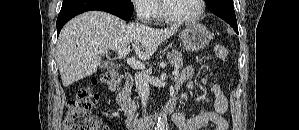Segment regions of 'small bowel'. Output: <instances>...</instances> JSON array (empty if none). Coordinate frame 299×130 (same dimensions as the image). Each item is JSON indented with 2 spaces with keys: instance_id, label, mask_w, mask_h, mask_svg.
Instances as JSON below:
<instances>
[{
  "instance_id": "1",
  "label": "small bowel",
  "mask_w": 299,
  "mask_h": 130,
  "mask_svg": "<svg viewBox=\"0 0 299 130\" xmlns=\"http://www.w3.org/2000/svg\"><path fill=\"white\" fill-rule=\"evenodd\" d=\"M195 74L194 66L185 67L180 75L178 76L177 81L179 83L187 82V88L190 89L193 86L192 78ZM204 84H208L212 93V105L213 111L201 112L198 115L185 118L184 115L178 113L173 119L175 125L179 130H200L201 128L207 126L209 123L215 124L214 130H227L228 122L224 118V114L228 108V101L224 96L221 88L218 84L207 82L202 80ZM107 130L109 127L105 125Z\"/></svg>"
}]
</instances>
